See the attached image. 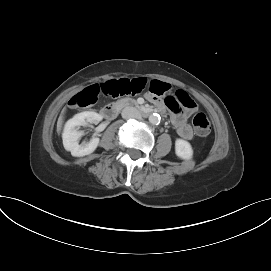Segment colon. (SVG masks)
Returning <instances> with one entry per match:
<instances>
[{"instance_id":"1","label":"colon","mask_w":271,"mask_h":271,"mask_svg":"<svg viewBox=\"0 0 271 271\" xmlns=\"http://www.w3.org/2000/svg\"><path fill=\"white\" fill-rule=\"evenodd\" d=\"M148 86L149 82L144 78L110 80L100 85L94 84L86 87L70 99L69 105L72 108H85L95 104L100 93L113 97L135 95L147 89ZM155 96L162 97L163 95ZM165 102L175 113H180L182 107L194 108L193 101L183 91L176 92L174 96H167ZM192 122L199 136L209 134L210 122L203 112H197Z\"/></svg>"}]
</instances>
